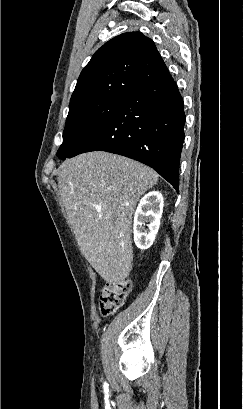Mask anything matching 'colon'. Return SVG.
<instances>
[{
  "label": "colon",
  "mask_w": 243,
  "mask_h": 409,
  "mask_svg": "<svg viewBox=\"0 0 243 409\" xmlns=\"http://www.w3.org/2000/svg\"><path fill=\"white\" fill-rule=\"evenodd\" d=\"M131 291V282L127 279L106 282L100 289L98 310L107 317L122 306Z\"/></svg>",
  "instance_id": "obj_1"
}]
</instances>
